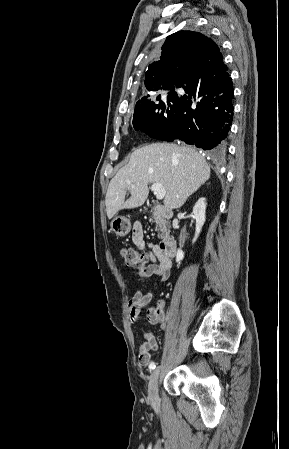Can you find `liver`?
I'll return each instance as SVG.
<instances>
[{"label": "liver", "instance_id": "obj_1", "mask_svg": "<svg viewBox=\"0 0 289 449\" xmlns=\"http://www.w3.org/2000/svg\"><path fill=\"white\" fill-rule=\"evenodd\" d=\"M210 178V167L194 148L168 143H153L136 149L127 165L110 181L105 204L107 217L121 209L144 204L148 184L160 183L166 190L164 206L180 208ZM131 193L125 201L127 192Z\"/></svg>", "mask_w": 289, "mask_h": 449}]
</instances>
